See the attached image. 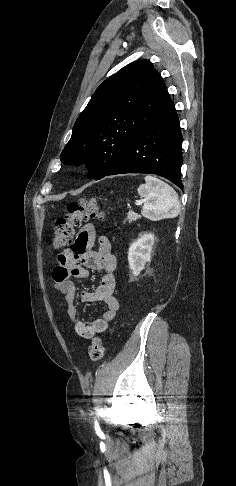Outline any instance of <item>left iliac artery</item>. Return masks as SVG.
I'll use <instances>...</instances> for the list:
<instances>
[{
	"label": "left iliac artery",
	"mask_w": 236,
	"mask_h": 486,
	"mask_svg": "<svg viewBox=\"0 0 236 486\" xmlns=\"http://www.w3.org/2000/svg\"><path fill=\"white\" fill-rule=\"evenodd\" d=\"M95 430L96 432H100V427L97 421H95Z\"/></svg>",
	"instance_id": "1"
}]
</instances>
